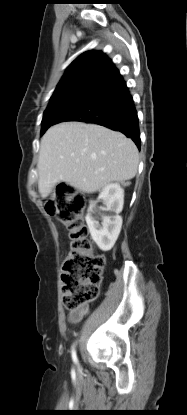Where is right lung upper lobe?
<instances>
[{"instance_id":"1","label":"right lung upper lobe","mask_w":187,"mask_h":415,"mask_svg":"<svg viewBox=\"0 0 187 415\" xmlns=\"http://www.w3.org/2000/svg\"><path fill=\"white\" fill-rule=\"evenodd\" d=\"M110 62L112 61L101 51H88L81 54L66 69L64 76L50 99L48 107L63 100L79 80Z\"/></svg>"}]
</instances>
